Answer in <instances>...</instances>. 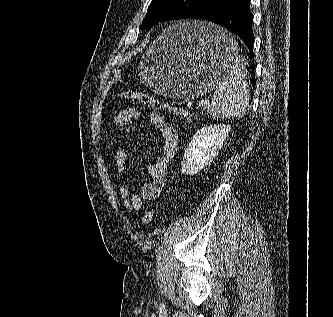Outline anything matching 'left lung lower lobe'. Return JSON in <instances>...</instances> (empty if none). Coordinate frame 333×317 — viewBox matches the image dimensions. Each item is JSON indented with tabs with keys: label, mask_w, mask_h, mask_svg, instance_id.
<instances>
[{
	"label": "left lung lower lobe",
	"mask_w": 333,
	"mask_h": 317,
	"mask_svg": "<svg viewBox=\"0 0 333 317\" xmlns=\"http://www.w3.org/2000/svg\"><path fill=\"white\" fill-rule=\"evenodd\" d=\"M186 19H199L215 23L238 35L251 55H253L254 36L252 31L253 15L250 10V0H213L210 4L191 12ZM254 73V65L248 68ZM253 85L255 77H251Z\"/></svg>",
	"instance_id": "obj_1"
}]
</instances>
